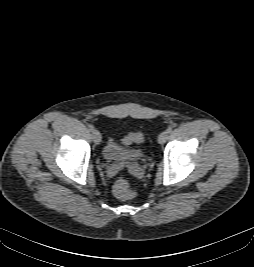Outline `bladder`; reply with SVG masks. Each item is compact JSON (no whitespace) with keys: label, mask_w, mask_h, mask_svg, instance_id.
Instances as JSON below:
<instances>
[{"label":"bladder","mask_w":254,"mask_h":267,"mask_svg":"<svg viewBox=\"0 0 254 267\" xmlns=\"http://www.w3.org/2000/svg\"><path fill=\"white\" fill-rule=\"evenodd\" d=\"M103 156L108 160H135L142 157V153L138 150L124 149L113 138H110L103 148Z\"/></svg>","instance_id":"31cf9c89"}]
</instances>
